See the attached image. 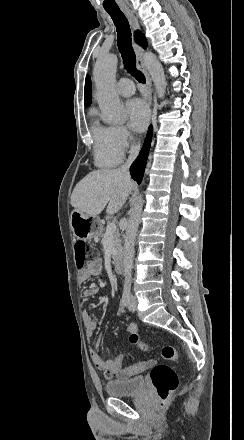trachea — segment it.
Masks as SVG:
<instances>
[{"label": "trachea", "instance_id": "obj_1", "mask_svg": "<svg viewBox=\"0 0 244 440\" xmlns=\"http://www.w3.org/2000/svg\"><path fill=\"white\" fill-rule=\"evenodd\" d=\"M117 30V44L126 70L140 83H145V76L136 69V57L131 43V30L127 18L120 8H106Z\"/></svg>", "mask_w": 244, "mask_h": 440}]
</instances>
